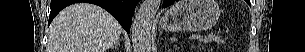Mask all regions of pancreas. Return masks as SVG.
Here are the masks:
<instances>
[{
	"mask_svg": "<svg viewBox=\"0 0 305 52\" xmlns=\"http://www.w3.org/2000/svg\"><path fill=\"white\" fill-rule=\"evenodd\" d=\"M204 41L206 43H211V42L222 43L223 40L221 36L209 34L204 37Z\"/></svg>",
	"mask_w": 305,
	"mask_h": 52,
	"instance_id": "obj_1",
	"label": "pancreas"
}]
</instances>
